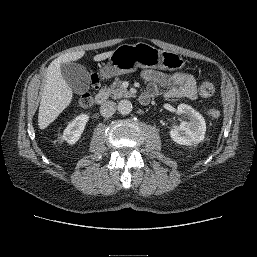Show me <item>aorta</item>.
Segmentation results:
<instances>
[{"instance_id":"obj_1","label":"aorta","mask_w":257,"mask_h":257,"mask_svg":"<svg viewBox=\"0 0 257 257\" xmlns=\"http://www.w3.org/2000/svg\"><path fill=\"white\" fill-rule=\"evenodd\" d=\"M132 108V103L129 100L124 99L118 103V111L123 115L129 114Z\"/></svg>"}]
</instances>
